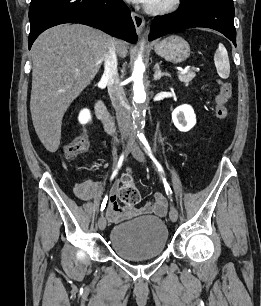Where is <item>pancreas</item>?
<instances>
[{
    "mask_svg": "<svg viewBox=\"0 0 261 306\" xmlns=\"http://www.w3.org/2000/svg\"><path fill=\"white\" fill-rule=\"evenodd\" d=\"M196 76L195 72L189 71L187 73H181L178 75L179 80L183 82L186 86L192 81V79Z\"/></svg>",
    "mask_w": 261,
    "mask_h": 306,
    "instance_id": "obj_1",
    "label": "pancreas"
}]
</instances>
